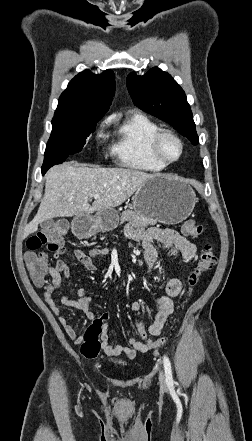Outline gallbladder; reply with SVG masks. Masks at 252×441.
Returning a JSON list of instances; mask_svg holds the SVG:
<instances>
[{
  "label": "gallbladder",
  "mask_w": 252,
  "mask_h": 441,
  "mask_svg": "<svg viewBox=\"0 0 252 441\" xmlns=\"http://www.w3.org/2000/svg\"><path fill=\"white\" fill-rule=\"evenodd\" d=\"M53 225H54V221L52 219L45 220L42 223H40L42 229H48Z\"/></svg>",
  "instance_id": "gallbladder-1"
}]
</instances>
